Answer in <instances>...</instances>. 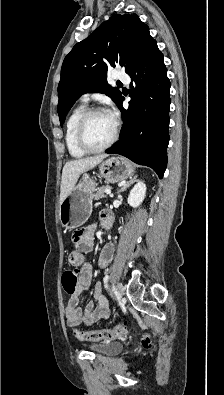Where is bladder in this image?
I'll list each match as a JSON object with an SVG mask.
<instances>
[{
  "label": "bladder",
  "mask_w": 224,
  "mask_h": 395,
  "mask_svg": "<svg viewBox=\"0 0 224 395\" xmlns=\"http://www.w3.org/2000/svg\"><path fill=\"white\" fill-rule=\"evenodd\" d=\"M123 348L120 342H100L89 346V349L99 355H113L119 353Z\"/></svg>",
  "instance_id": "31cf9c89"
}]
</instances>
